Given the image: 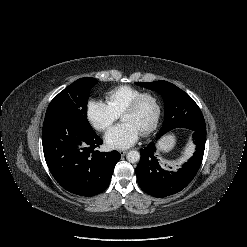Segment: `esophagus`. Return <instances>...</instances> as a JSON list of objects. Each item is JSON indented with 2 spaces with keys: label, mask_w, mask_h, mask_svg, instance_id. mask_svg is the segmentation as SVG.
<instances>
[{
  "label": "esophagus",
  "mask_w": 247,
  "mask_h": 247,
  "mask_svg": "<svg viewBox=\"0 0 247 247\" xmlns=\"http://www.w3.org/2000/svg\"><path fill=\"white\" fill-rule=\"evenodd\" d=\"M119 153H120L121 156H125L127 151L126 150H120Z\"/></svg>",
  "instance_id": "esophagus-1"
}]
</instances>
